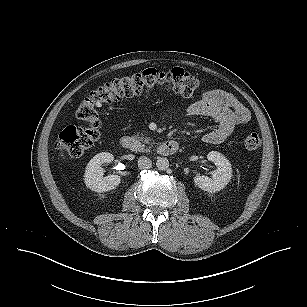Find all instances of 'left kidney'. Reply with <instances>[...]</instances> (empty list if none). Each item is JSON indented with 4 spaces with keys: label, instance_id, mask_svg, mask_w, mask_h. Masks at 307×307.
<instances>
[{
    "label": "left kidney",
    "instance_id": "left-kidney-1",
    "mask_svg": "<svg viewBox=\"0 0 307 307\" xmlns=\"http://www.w3.org/2000/svg\"><path fill=\"white\" fill-rule=\"evenodd\" d=\"M207 159L217 166L212 172V177L196 175L194 183L200 189L207 192H217L222 190L231 180L232 168L231 164L225 156L217 151H211L207 155Z\"/></svg>",
    "mask_w": 307,
    "mask_h": 307
}]
</instances>
